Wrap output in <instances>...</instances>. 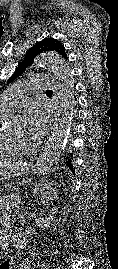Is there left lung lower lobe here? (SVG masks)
I'll return each instance as SVG.
<instances>
[{"label": "left lung lower lobe", "mask_w": 118, "mask_h": 269, "mask_svg": "<svg viewBox=\"0 0 118 269\" xmlns=\"http://www.w3.org/2000/svg\"><path fill=\"white\" fill-rule=\"evenodd\" d=\"M67 159H68V161L66 162V166H68L70 168V170L74 172L73 165L71 163V159L69 157H67Z\"/></svg>", "instance_id": "0a47b994"}]
</instances>
